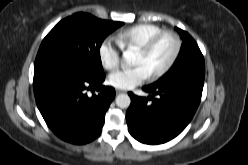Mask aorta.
<instances>
[{"label": "aorta", "instance_id": "aorta-1", "mask_svg": "<svg viewBox=\"0 0 248 165\" xmlns=\"http://www.w3.org/2000/svg\"><path fill=\"white\" fill-rule=\"evenodd\" d=\"M123 58L129 65L135 63V53L130 50H126L123 52ZM130 103H131V99L127 94H119L116 97V105L119 108L122 109L128 108L130 106Z\"/></svg>", "mask_w": 248, "mask_h": 165}]
</instances>
